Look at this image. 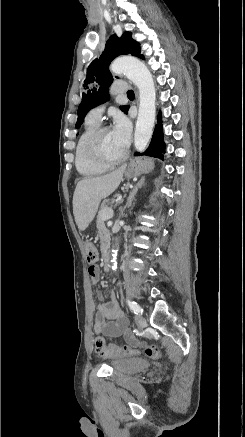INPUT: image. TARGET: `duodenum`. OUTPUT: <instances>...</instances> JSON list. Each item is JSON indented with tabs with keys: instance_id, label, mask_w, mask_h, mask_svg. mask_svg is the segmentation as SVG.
Returning <instances> with one entry per match:
<instances>
[{
	"instance_id": "1",
	"label": "duodenum",
	"mask_w": 245,
	"mask_h": 437,
	"mask_svg": "<svg viewBox=\"0 0 245 437\" xmlns=\"http://www.w3.org/2000/svg\"><path fill=\"white\" fill-rule=\"evenodd\" d=\"M110 256H111L110 249H109V247L105 246L102 250V258L104 261V270L105 271H108L110 268V263H109Z\"/></svg>"
}]
</instances>
